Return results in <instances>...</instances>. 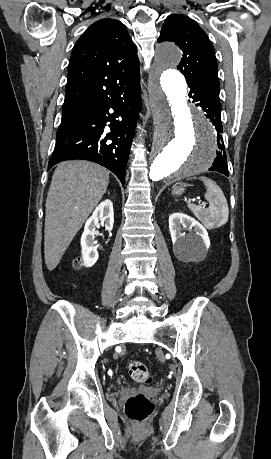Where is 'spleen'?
I'll return each mask as SVG.
<instances>
[{
	"instance_id": "3e777b00",
	"label": "spleen",
	"mask_w": 271,
	"mask_h": 459,
	"mask_svg": "<svg viewBox=\"0 0 271 459\" xmlns=\"http://www.w3.org/2000/svg\"><path fill=\"white\" fill-rule=\"evenodd\" d=\"M193 180H196V178H193ZM199 180L204 182L206 188L205 200L209 202L210 206L209 208H200L195 204H188V208L192 210L196 218H199L205 228H220V226H224L228 222L229 208L227 200L216 182L209 180V178H203V176H200Z\"/></svg>"
}]
</instances>
